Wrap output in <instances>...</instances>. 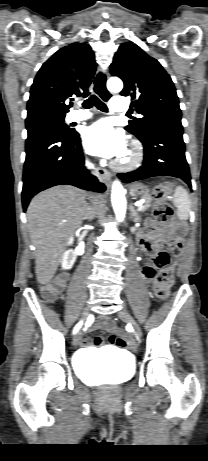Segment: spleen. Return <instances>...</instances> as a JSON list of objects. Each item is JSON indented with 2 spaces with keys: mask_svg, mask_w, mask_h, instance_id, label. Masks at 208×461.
<instances>
[{
  "mask_svg": "<svg viewBox=\"0 0 208 461\" xmlns=\"http://www.w3.org/2000/svg\"><path fill=\"white\" fill-rule=\"evenodd\" d=\"M173 204L177 208V217L186 221L190 214L191 200L188 192L182 186L176 187Z\"/></svg>",
  "mask_w": 208,
  "mask_h": 461,
  "instance_id": "obj_1",
  "label": "spleen"
}]
</instances>
